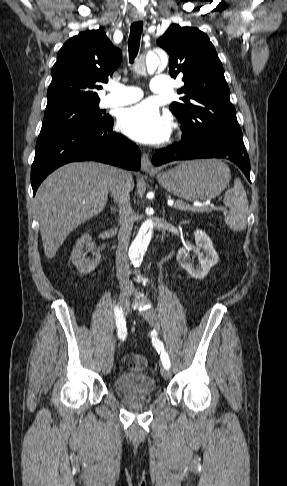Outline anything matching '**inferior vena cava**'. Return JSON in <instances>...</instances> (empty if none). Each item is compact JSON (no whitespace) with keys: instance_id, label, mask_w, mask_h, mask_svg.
<instances>
[{"instance_id":"obj_1","label":"inferior vena cava","mask_w":287,"mask_h":486,"mask_svg":"<svg viewBox=\"0 0 287 486\" xmlns=\"http://www.w3.org/2000/svg\"><path fill=\"white\" fill-rule=\"evenodd\" d=\"M125 171L114 169L110 181V192L119 205L118 247L116 251V270L121 289L133 291L128 264V246L134 224V212L130 205V190L126 184Z\"/></svg>"}]
</instances>
